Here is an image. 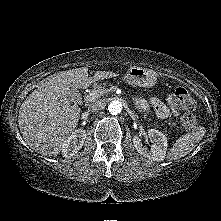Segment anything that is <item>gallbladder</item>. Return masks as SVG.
Here are the masks:
<instances>
[{"label": "gallbladder", "mask_w": 221, "mask_h": 221, "mask_svg": "<svg viewBox=\"0 0 221 221\" xmlns=\"http://www.w3.org/2000/svg\"><path fill=\"white\" fill-rule=\"evenodd\" d=\"M69 98L71 101L76 102L79 99V91L72 87L69 92Z\"/></svg>", "instance_id": "obj_1"}]
</instances>
